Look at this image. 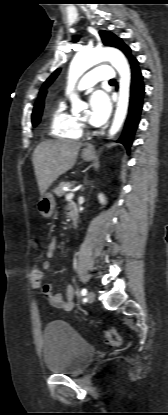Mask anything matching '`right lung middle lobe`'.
<instances>
[{
    "instance_id": "obj_1",
    "label": "right lung middle lobe",
    "mask_w": 168,
    "mask_h": 415,
    "mask_svg": "<svg viewBox=\"0 0 168 415\" xmlns=\"http://www.w3.org/2000/svg\"><path fill=\"white\" fill-rule=\"evenodd\" d=\"M41 115H42V110L33 113V115H32V123H33L34 126L37 125V124H39L40 119H41Z\"/></svg>"
}]
</instances>
